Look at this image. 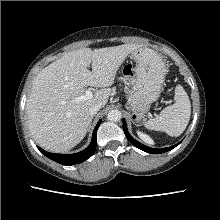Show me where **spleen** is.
Here are the masks:
<instances>
[{
	"label": "spleen",
	"instance_id": "obj_1",
	"mask_svg": "<svg viewBox=\"0 0 220 220\" xmlns=\"http://www.w3.org/2000/svg\"><path fill=\"white\" fill-rule=\"evenodd\" d=\"M174 99L173 105L164 108L156 118L145 122L147 129L166 132L172 137H178L184 132L191 115V104L181 85L176 86Z\"/></svg>",
	"mask_w": 220,
	"mask_h": 220
}]
</instances>
